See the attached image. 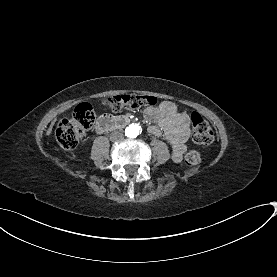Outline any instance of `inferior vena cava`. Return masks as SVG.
<instances>
[{
	"instance_id": "inferior-vena-cava-1",
	"label": "inferior vena cava",
	"mask_w": 277,
	"mask_h": 277,
	"mask_svg": "<svg viewBox=\"0 0 277 277\" xmlns=\"http://www.w3.org/2000/svg\"><path fill=\"white\" fill-rule=\"evenodd\" d=\"M123 138V134L120 133L119 131H113L111 134H110V140L111 141H118L120 139Z\"/></svg>"
}]
</instances>
